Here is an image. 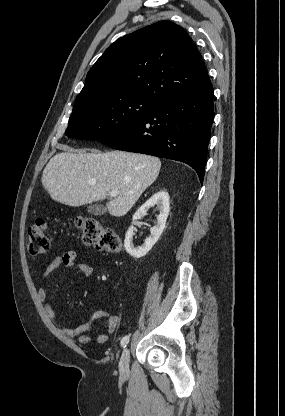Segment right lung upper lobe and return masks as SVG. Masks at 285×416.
I'll return each mask as SVG.
<instances>
[{
    "label": "right lung upper lobe",
    "instance_id": "obj_1",
    "mask_svg": "<svg viewBox=\"0 0 285 416\" xmlns=\"http://www.w3.org/2000/svg\"><path fill=\"white\" fill-rule=\"evenodd\" d=\"M210 83L187 32L161 21L125 35L106 49L86 76L73 110L140 97L158 105Z\"/></svg>",
    "mask_w": 285,
    "mask_h": 416
}]
</instances>
